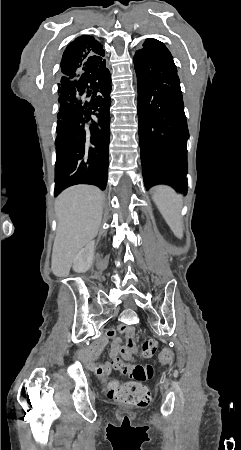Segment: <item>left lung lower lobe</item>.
Returning <instances> with one entry per match:
<instances>
[{"label":"left lung lower lobe","instance_id":"0a47b994","mask_svg":"<svg viewBox=\"0 0 241 450\" xmlns=\"http://www.w3.org/2000/svg\"><path fill=\"white\" fill-rule=\"evenodd\" d=\"M134 66L144 185L149 189L166 184L186 195L189 133L172 55L165 45L142 48L134 56Z\"/></svg>","mask_w":241,"mask_h":450}]
</instances>
